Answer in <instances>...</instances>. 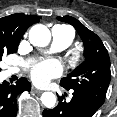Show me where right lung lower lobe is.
I'll return each mask as SVG.
<instances>
[{"instance_id": "1", "label": "right lung lower lobe", "mask_w": 117, "mask_h": 117, "mask_svg": "<svg viewBox=\"0 0 117 117\" xmlns=\"http://www.w3.org/2000/svg\"><path fill=\"white\" fill-rule=\"evenodd\" d=\"M30 89L31 84L26 78H20L16 85H9L7 82L0 84V117H15L17 95Z\"/></svg>"}]
</instances>
